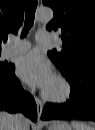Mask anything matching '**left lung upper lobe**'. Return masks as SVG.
Segmentation results:
<instances>
[{"label": "left lung upper lobe", "mask_w": 95, "mask_h": 130, "mask_svg": "<svg viewBox=\"0 0 95 130\" xmlns=\"http://www.w3.org/2000/svg\"><path fill=\"white\" fill-rule=\"evenodd\" d=\"M54 11L46 26L61 33L63 46L48 52L49 58L64 73L82 66H95V0H43Z\"/></svg>", "instance_id": "1"}]
</instances>
